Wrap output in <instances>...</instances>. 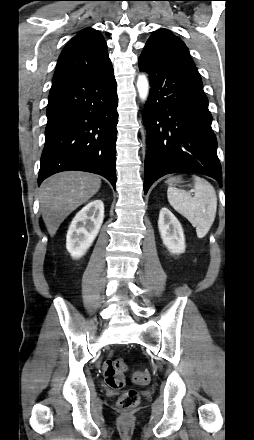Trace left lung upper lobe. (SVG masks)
<instances>
[{"label": "left lung upper lobe", "mask_w": 254, "mask_h": 440, "mask_svg": "<svg viewBox=\"0 0 254 440\" xmlns=\"http://www.w3.org/2000/svg\"><path fill=\"white\" fill-rule=\"evenodd\" d=\"M141 55H151L173 64L190 67L200 77L184 42L167 29L153 32Z\"/></svg>", "instance_id": "obj_1"}]
</instances>
